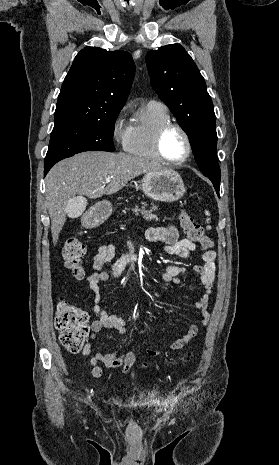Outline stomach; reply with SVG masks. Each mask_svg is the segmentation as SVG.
I'll use <instances>...</instances> for the list:
<instances>
[{
    "label": "stomach",
    "mask_w": 279,
    "mask_h": 465,
    "mask_svg": "<svg viewBox=\"0 0 279 465\" xmlns=\"http://www.w3.org/2000/svg\"><path fill=\"white\" fill-rule=\"evenodd\" d=\"M144 194L156 201L174 202L180 199L186 189L178 172L164 169L154 173H147L141 180ZM112 213V205L107 200L96 203L84 215L83 226L93 228L101 225Z\"/></svg>",
    "instance_id": "obj_1"
}]
</instances>
